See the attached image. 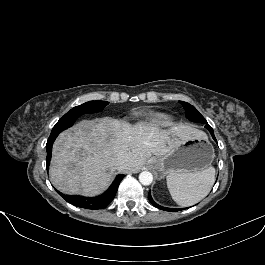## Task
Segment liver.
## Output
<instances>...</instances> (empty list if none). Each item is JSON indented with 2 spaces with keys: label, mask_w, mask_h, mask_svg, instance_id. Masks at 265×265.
I'll list each match as a JSON object with an SVG mask.
<instances>
[{
  "label": "liver",
  "mask_w": 265,
  "mask_h": 265,
  "mask_svg": "<svg viewBox=\"0 0 265 265\" xmlns=\"http://www.w3.org/2000/svg\"><path fill=\"white\" fill-rule=\"evenodd\" d=\"M202 134L187 125L163 131L153 122L131 125L111 117L83 120L56 139L50 180L61 192L95 196L107 189L116 170L134 173L152 154H168L177 139ZM119 153L125 157L121 167L116 164Z\"/></svg>",
  "instance_id": "obj_1"
}]
</instances>
